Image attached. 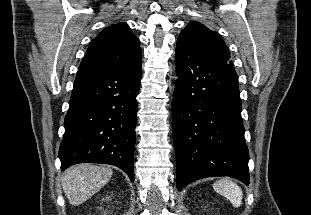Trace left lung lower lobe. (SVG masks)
<instances>
[{"label":"left lung lower lobe","instance_id":"0a47b994","mask_svg":"<svg viewBox=\"0 0 311 215\" xmlns=\"http://www.w3.org/2000/svg\"><path fill=\"white\" fill-rule=\"evenodd\" d=\"M176 70L172 132L177 189L215 176H230L249 185V155L235 69L178 38Z\"/></svg>","mask_w":311,"mask_h":215}]
</instances>
